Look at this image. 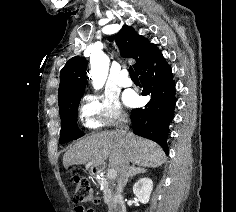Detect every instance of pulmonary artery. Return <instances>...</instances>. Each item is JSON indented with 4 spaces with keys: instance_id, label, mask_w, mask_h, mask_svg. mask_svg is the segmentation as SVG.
<instances>
[{
    "instance_id": "obj_1",
    "label": "pulmonary artery",
    "mask_w": 236,
    "mask_h": 212,
    "mask_svg": "<svg viewBox=\"0 0 236 212\" xmlns=\"http://www.w3.org/2000/svg\"><path fill=\"white\" fill-rule=\"evenodd\" d=\"M133 82L132 80L128 77V74L126 71H122L120 74V83L119 85L121 87H130L132 86Z\"/></svg>"
}]
</instances>
